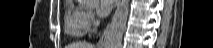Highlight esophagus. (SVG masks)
Listing matches in <instances>:
<instances>
[{
	"label": "esophagus",
	"instance_id": "1",
	"mask_svg": "<svg viewBox=\"0 0 213 48\" xmlns=\"http://www.w3.org/2000/svg\"><path fill=\"white\" fill-rule=\"evenodd\" d=\"M118 4H119V0H116V6H117ZM107 32H108V27L105 29L103 35L101 36V38H100V40H99V42H98V47H99V48H102V47L104 46Z\"/></svg>",
	"mask_w": 213,
	"mask_h": 48
}]
</instances>
